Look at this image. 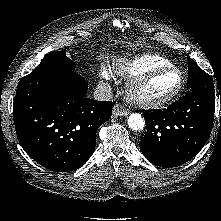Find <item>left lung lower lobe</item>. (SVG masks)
I'll use <instances>...</instances> for the list:
<instances>
[{
	"mask_svg": "<svg viewBox=\"0 0 221 221\" xmlns=\"http://www.w3.org/2000/svg\"><path fill=\"white\" fill-rule=\"evenodd\" d=\"M215 96L193 91L165 110L143 111L147 132L140 141L144 156L160 167L192 159L207 142L213 124Z\"/></svg>",
	"mask_w": 221,
	"mask_h": 221,
	"instance_id": "obj_1",
	"label": "left lung lower lobe"
}]
</instances>
